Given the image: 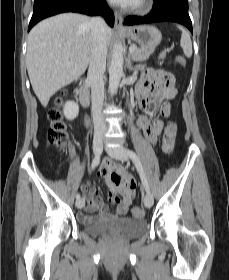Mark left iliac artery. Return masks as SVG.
<instances>
[{"label":"left iliac artery","mask_w":229,"mask_h":280,"mask_svg":"<svg viewBox=\"0 0 229 280\" xmlns=\"http://www.w3.org/2000/svg\"><path fill=\"white\" fill-rule=\"evenodd\" d=\"M127 153L130 156V158L132 159V161L134 162V165L139 172V175H140V178H141V181H142V184H143L145 190L147 192H149V185H148V182H147L139 156L133 150H127Z\"/></svg>","instance_id":"44dca946"}]
</instances>
